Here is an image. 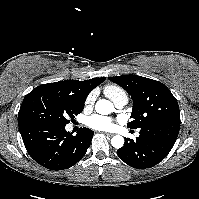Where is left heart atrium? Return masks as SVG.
I'll list each match as a JSON object with an SVG mask.
<instances>
[{
    "mask_svg": "<svg viewBox=\"0 0 199 199\" xmlns=\"http://www.w3.org/2000/svg\"><path fill=\"white\" fill-rule=\"evenodd\" d=\"M88 125L94 129L107 130L113 126V121L105 116L93 115L88 119Z\"/></svg>",
    "mask_w": 199,
    "mask_h": 199,
    "instance_id": "1",
    "label": "left heart atrium"
}]
</instances>
